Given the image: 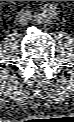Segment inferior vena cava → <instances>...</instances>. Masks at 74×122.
<instances>
[{
  "label": "inferior vena cava",
  "mask_w": 74,
  "mask_h": 122,
  "mask_svg": "<svg viewBox=\"0 0 74 122\" xmlns=\"http://www.w3.org/2000/svg\"><path fill=\"white\" fill-rule=\"evenodd\" d=\"M31 13L28 10H22L18 13V19L21 23H25L30 19Z\"/></svg>",
  "instance_id": "inferior-vena-cava-1"
}]
</instances>
